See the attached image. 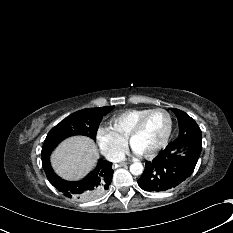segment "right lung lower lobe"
Instances as JSON below:
<instances>
[{
    "label": "right lung lower lobe",
    "mask_w": 233,
    "mask_h": 233,
    "mask_svg": "<svg viewBox=\"0 0 233 233\" xmlns=\"http://www.w3.org/2000/svg\"><path fill=\"white\" fill-rule=\"evenodd\" d=\"M43 169L49 182L68 198L81 200L94 199L102 195L112 181V163L99 160L96 168L85 179L66 181L60 178L50 165L49 156L42 158Z\"/></svg>",
    "instance_id": "obj_1"
}]
</instances>
